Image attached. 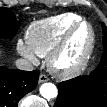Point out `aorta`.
Returning <instances> with one entry per match:
<instances>
[{
    "label": "aorta",
    "mask_w": 107,
    "mask_h": 107,
    "mask_svg": "<svg viewBox=\"0 0 107 107\" xmlns=\"http://www.w3.org/2000/svg\"><path fill=\"white\" fill-rule=\"evenodd\" d=\"M40 94L45 99H52L57 96L58 91L53 83H44L40 87Z\"/></svg>",
    "instance_id": "obj_1"
}]
</instances>
